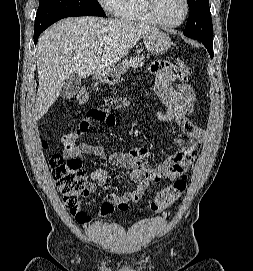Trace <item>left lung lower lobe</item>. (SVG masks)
<instances>
[{
    "mask_svg": "<svg viewBox=\"0 0 253 271\" xmlns=\"http://www.w3.org/2000/svg\"><path fill=\"white\" fill-rule=\"evenodd\" d=\"M200 41L207 48V50L210 54V57L213 58V41H203V40H200Z\"/></svg>",
    "mask_w": 253,
    "mask_h": 271,
    "instance_id": "obj_1",
    "label": "left lung lower lobe"
}]
</instances>
